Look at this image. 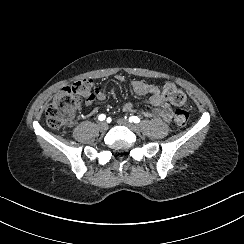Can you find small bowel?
<instances>
[{
    "label": "small bowel",
    "instance_id": "obj_1",
    "mask_svg": "<svg viewBox=\"0 0 244 244\" xmlns=\"http://www.w3.org/2000/svg\"><path fill=\"white\" fill-rule=\"evenodd\" d=\"M116 80L123 83L125 82V77L122 74H119L116 76ZM130 84L136 95L148 96L149 103L153 106V109L150 111L145 109L139 111L144 117L164 122L171 121L174 113L173 108L165 101L160 89L156 85L141 80H133ZM94 98L99 101L106 100L107 92L104 86L100 85L96 88ZM86 104L90 107L92 105V99H89ZM123 110L127 113L137 111L136 107L132 104L124 105Z\"/></svg>",
    "mask_w": 244,
    "mask_h": 244
}]
</instances>
